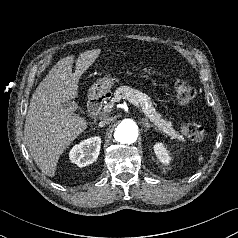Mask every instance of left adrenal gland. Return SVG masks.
Masks as SVG:
<instances>
[{
	"label": "left adrenal gland",
	"mask_w": 238,
	"mask_h": 238,
	"mask_svg": "<svg viewBox=\"0 0 238 238\" xmlns=\"http://www.w3.org/2000/svg\"><path fill=\"white\" fill-rule=\"evenodd\" d=\"M142 123H143V125L145 126V128H146V131L149 129V128H154V129H156V127H154L152 124H150L149 122H148V120L145 118H143L142 119Z\"/></svg>",
	"instance_id": "a2214340"
}]
</instances>
